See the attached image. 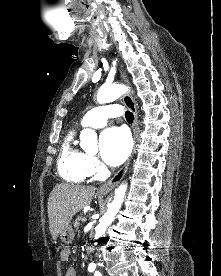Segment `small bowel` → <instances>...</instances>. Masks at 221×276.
<instances>
[{"label": "small bowel", "mask_w": 221, "mask_h": 276, "mask_svg": "<svg viewBox=\"0 0 221 276\" xmlns=\"http://www.w3.org/2000/svg\"><path fill=\"white\" fill-rule=\"evenodd\" d=\"M70 258V251L67 249V251H64L61 254V260L62 261H68ZM65 276H77V272L74 268L67 269Z\"/></svg>", "instance_id": "c3829d8e"}]
</instances>
